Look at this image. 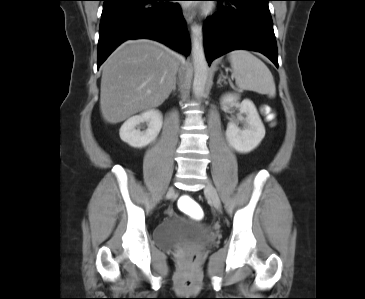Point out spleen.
Segmentation results:
<instances>
[{
  "label": "spleen",
  "instance_id": "3e777b00",
  "mask_svg": "<svg viewBox=\"0 0 365 299\" xmlns=\"http://www.w3.org/2000/svg\"><path fill=\"white\" fill-rule=\"evenodd\" d=\"M232 77L240 89L255 91L275 97L276 87L268 67L246 50H235L229 54Z\"/></svg>",
  "mask_w": 365,
  "mask_h": 299
}]
</instances>
